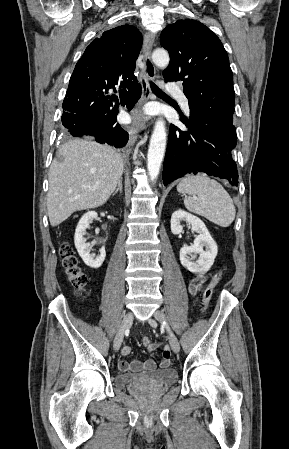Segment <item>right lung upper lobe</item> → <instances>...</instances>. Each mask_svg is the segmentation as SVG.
<instances>
[{"mask_svg": "<svg viewBox=\"0 0 289 449\" xmlns=\"http://www.w3.org/2000/svg\"><path fill=\"white\" fill-rule=\"evenodd\" d=\"M142 35L132 25L105 31L94 39L78 60L72 76L84 81L120 85L132 81Z\"/></svg>", "mask_w": 289, "mask_h": 449, "instance_id": "1", "label": "right lung upper lobe"}]
</instances>
